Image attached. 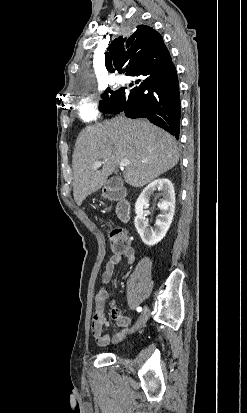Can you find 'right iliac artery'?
<instances>
[{
    "instance_id": "obj_1",
    "label": "right iliac artery",
    "mask_w": 247,
    "mask_h": 413,
    "mask_svg": "<svg viewBox=\"0 0 247 413\" xmlns=\"http://www.w3.org/2000/svg\"><path fill=\"white\" fill-rule=\"evenodd\" d=\"M137 311H138V312H141V311H142V308H141V307H137Z\"/></svg>"
}]
</instances>
